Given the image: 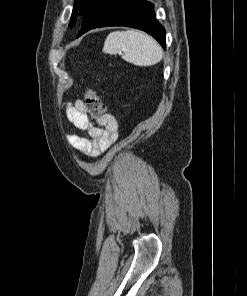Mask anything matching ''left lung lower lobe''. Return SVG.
I'll list each match as a JSON object with an SVG mask.
<instances>
[{
    "mask_svg": "<svg viewBox=\"0 0 247 296\" xmlns=\"http://www.w3.org/2000/svg\"><path fill=\"white\" fill-rule=\"evenodd\" d=\"M105 26H127L153 36L165 49V29L156 19L153 4L144 0H99L84 16L78 34Z\"/></svg>",
    "mask_w": 247,
    "mask_h": 296,
    "instance_id": "left-lung-lower-lobe-1",
    "label": "left lung lower lobe"
}]
</instances>
